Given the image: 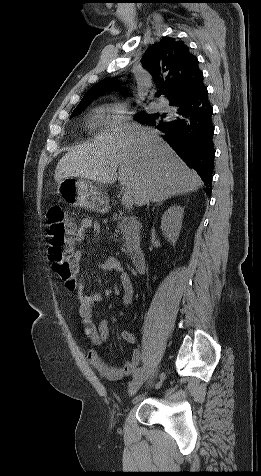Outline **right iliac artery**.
Returning <instances> with one entry per match:
<instances>
[{
    "label": "right iliac artery",
    "mask_w": 261,
    "mask_h": 476,
    "mask_svg": "<svg viewBox=\"0 0 261 476\" xmlns=\"http://www.w3.org/2000/svg\"><path fill=\"white\" fill-rule=\"evenodd\" d=\"M143 370H144L143 367L137 368V369L134 371V373H133V377H136V376H138L139 374H141V373L143 372Z\"/></svg>",
    "instance_id": "right-iliac-artery-1"
}]
</instances>
